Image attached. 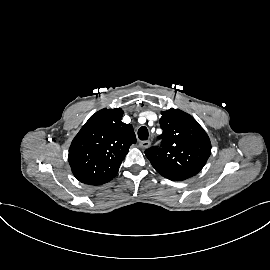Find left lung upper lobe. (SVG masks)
I'll return each mask as SVG.
<instances>
[{
  "instance_id": "1",
  "label": "left lung upper lobe",
  "mask_w": 270,
  "mask_h": 270,
  "mask_svg": "<svg viewBox=\"0 0 270 270\" xmlns=\"http://www.w3.org/2000/svg\"><path fill=\"white\" fill-rule=\"evenodd\" d=\"M160 147L145 151L155 170L172 181L196 175L211 154V142L198 122L179 109L161 112Z\"/></svg>"
}]
</instances>
